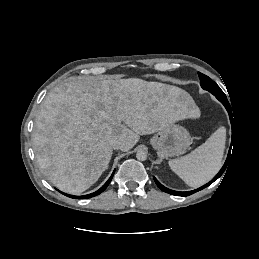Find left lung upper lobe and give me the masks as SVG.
<instances>
[{
  "label": "left lung upper lobe",
  "mask_w": 259,
  "mask_h": 259,
  "mask_svg": "<svg viewBox=\"0 0 259 259\" xmlns=\"http://www.w3.org/2000/svg\"><path fill=\"white\" fill-rule=\"evenodd\" d=\"M199 78H200V84L201 87L209 92H211L213 95L215 94H224L223 91L220 89V87L213 81L211 80L208 76L198 73Z\"/></svg>",
  "instance_id": "left-lung-upper-lobe-1"
}]
</instances>
